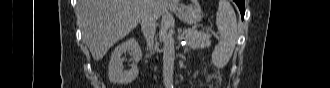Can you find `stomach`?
I'll use <instances>...</instances> for the list:
<instances>
[{
  "instance_id": "0dacf381",
  "label": "stomach",
  "mask_w": 330,
  "mask_h": 88,
  "mask_svg": "<svg viewBox=\"0 0 330 88\" xmlns=\"http://www.w3.org/2000/svg\"><path fill=\"white\" fill-rule=\"evenodd\" d=\"M176 16L186 24L195 25L202 20L203 13L198 2L194 1L189 5L179 4L172 8Z\"/></svg>"
}]
</instances>
